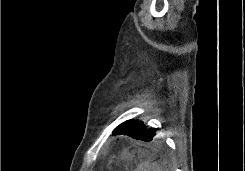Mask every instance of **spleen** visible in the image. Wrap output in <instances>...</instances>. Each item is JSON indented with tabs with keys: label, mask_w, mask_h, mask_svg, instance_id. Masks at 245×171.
Returning <instances> with one entry per match:
<instances>
[{
	"label": "spleen",
	"mask_w": 245,
	"mask_h": 171,
	"mask_svg": "<svg viewBox=\"0 0 245 171\" xmlns=\"http://www.w3.org/2000/svg\"><path fill=\"white\" fill-rule=\"evenodd\" d=\"M134 171H163L162 167L150 161L142 162Z\"/></svg>",
	"instance_id": "3e777b00"
}]
</instances>
